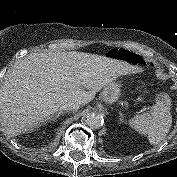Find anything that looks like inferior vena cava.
Segmentation results:
<instances>
[{"mask_svg":"<svg viewBox=\"0 0 177 177\" xmlns=\"http://www.w3.org/2000/svg\"><path fill=\"white\" fill-rule=\"evenodd\" d=\"M79 107H80V104L78 102H75V101L71 102V101H69V102L63 103L59 107V109H60V111H76V110L79 109Z\"/></svg>","mask_w":177,"mask_h":177,"instance_id":"inferior-vena-cava-1","label":"inferior vena cava"}]
</instances>
